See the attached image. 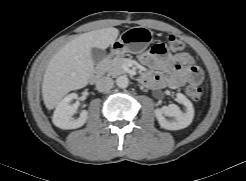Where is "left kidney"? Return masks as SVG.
<instances>
[{"label": "left kidney", "mask_w": 246, "mask_h": 181, "mask_svg": "<svg viewBox=\"0 0 246 181\" xmlns=\"http://www.w3.org/2000/svg\"><path fill=\"white\" fill-rule=\"evenodd\" d=\"M177 102L185 106V112H182L176 104H169L162 108L155 109V116L160 126L167 130H180L188 127L194 117V108L191 101L182 93H177ZM166 117H172L168 120Z\"/></svg>", "instance_id": "obj_1"}]
</instances>
